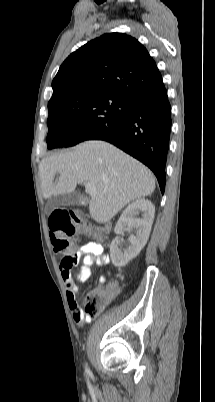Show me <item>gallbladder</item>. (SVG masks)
I'll return each instance as SVG.
<instances>
[{"instance_id": "gallbladder-1", "label": "gallbladder", "mask_w": 215, "mask_h": 402, "mask_svg": "<svg viewBox=\"0 0 215 402\" xmlns=\"http://www.w3.org/2000/svg\"><path fill=\"white\" fill-rule=\"evenodd\" d=\"M84 199L80 193L72 192L54 196L46 205V212L50 214L55 209L62 206L81 205Z\"/></svg>"}]
</instances>
